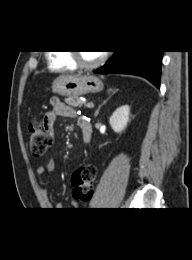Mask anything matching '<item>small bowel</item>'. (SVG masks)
I'll return each mask as SVG.
<instances>
[{
    "label": "small bowel",
    "mask_w": 192,
    "mask_h": 260,
    "mask_svg": "<svg viewBox=\"0 0 192 260\" xmlns=\"http://www.w3.org/2000/svg\"><path fill=\"white\" fill-rule=\"evenodd\" d=\"M50 109L45 113L43 118V125L48 133L53 137L54 135V124L57 117H70L77 118L78 124L82 117H78L76 112L64 102H62L58 97H51L49 100ZM55 170V161L53 159H48L44 166L37 168V173L40 176L52 173ZM74 208L79 207L78 201H73ZM60 208L62 204L58 205Z\"/></svg>",
    "instance_id": "c3829d8e"
}]
</instances>
